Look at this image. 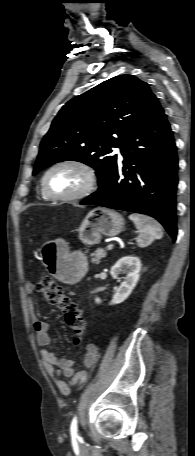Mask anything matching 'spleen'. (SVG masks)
Masks as SVG:
<instances>
[{
	"mask_svg": "<svg viewBox=\"0 0 195 456\" xmlns=\"http://www.w3.org/2000/svg\"><path fill=\"white\" fill-rule=\"evenodd\" d=\"M129 219L134 222L138 230L137 244L139 247H146L154 239L163 237L161 225L155 219L139 214H130Z\"/></svg>",
	"mask_w": 195,
	"mask_h": 456,
	"instance_id": "spleen-1",
	"label": "spleen"
}]
</instances>
